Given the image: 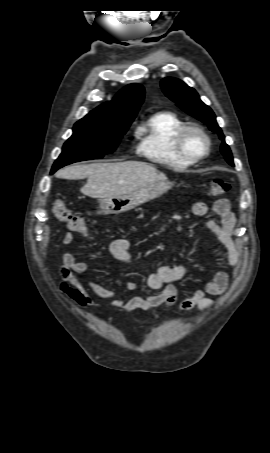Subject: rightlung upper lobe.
Masks as SVG:
<instances>
[{
  "instance_id": "cb5924a9",
  "label": "right lung upper lobe",
  "mask_w": 270,
  "mask_h": 453,
  "mask_svg": "<svg viewBox=\"0 0 270 453\" xmlns=\"http://www.w3.org/2000/svg\"><path fill=\"white\" fill-rule=\"evenodd\" d=\"M144 99V88L131 84L122 89L111 102L100 105L83 119L97 120L117 126H128Z\"/></svg>"
}]
</instances>
